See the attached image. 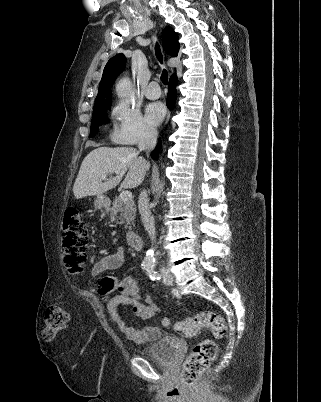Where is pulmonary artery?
Returning a JSON list of instances; mask_svg holds the SVG:
<instances>
[{
    "mask_svg": "<svg viewBox=\"0 0 321 402\" xmlns=\"http://www.w3.org/2000/svg\"><path fill=\"white\" fill-rule=\"evenodd\" d=\"M161 95L160 87L157 81H152L149 83L145 90V96L148 99H158Z\"/></svg>",
    "mask_w": 321,
    "mask_h": 402,
    "instance_id": "e3ab8cb5",
    "label": "pulmonary artery"
}]
</instances>
